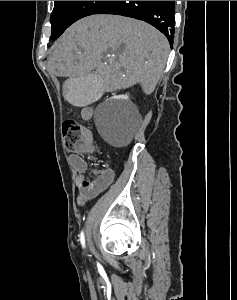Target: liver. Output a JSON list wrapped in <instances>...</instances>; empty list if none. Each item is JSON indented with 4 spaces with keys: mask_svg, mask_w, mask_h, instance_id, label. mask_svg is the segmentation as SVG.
<instances>
[{
    "mask_svg": "<svg viewBox=\"0 0 237 300\" xmlns=\"http://www.w3.org/2000/svg\"><path fill=\"white\" fill-rule=\"evenodd\" d=\"M56 45L48 63L57 77L87 75L96 69L104 77L105 91L141 85L145 95H151L161 79L169 51L160 31L119 15L80 19Z\"/></svg>",
    "mask_w": 237,
    "mask_h": 300,
    "instance_id": "obj_1",
    "label": "liver"
}]
</instances>
